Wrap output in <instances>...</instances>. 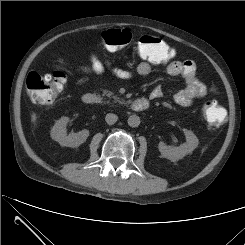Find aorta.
Here are the masks:
<instances>
[{"mask_svg": "<svg viewBox=\"0 0 245 245\" xmlns=\"http://www.w3.org/2000/svg\"><path fill=\"white\" fill-rule=\"evenodd\" d=\"M127 123L130 127H138L140 125V118L137 115L129 116Z\"/></svg>", "mask_w": 245, "mask_h": 245, "instance_id": "obj_1", "label": "aorta"}]
</instances>
